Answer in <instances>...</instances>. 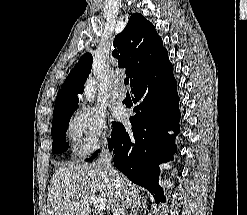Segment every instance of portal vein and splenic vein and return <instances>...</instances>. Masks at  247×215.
<instances>
[{
  "mask_svg": "<svg viewBox=\"0 0 247 215\" xmlns=\"http://www.w3.org/2000/svg\"><path fill=\"white\" fill-rule=\"evenodd\" d=\"M92 203L94 204V207L97 210H105L106 209V204L103 201V199H100V198H92Z\"/></svg>",
  "mask_w": 247,
  "mask_h": 215,
  "instance_id": "portal-vein-and-splenic-vein-1",
  "label": "portal vein and splenic vein"
}]
</instances>
